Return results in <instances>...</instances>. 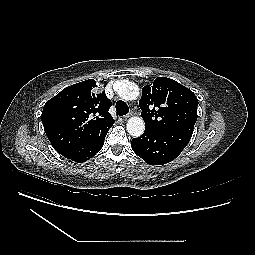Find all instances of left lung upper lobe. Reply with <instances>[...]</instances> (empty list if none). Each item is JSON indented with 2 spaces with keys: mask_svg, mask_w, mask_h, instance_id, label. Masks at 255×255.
<instances>
[{
  "mask_svg": "<svg viewBox=\"0 0 255 255\" xmlns=\"http://www.w3.org/2000/svg\"><path fill=\"white\" fill-rule=\"evenodd\" d=\"M145 128L193 133L197 120L195 94L173 79L158 77L142 89L139 101Z\"/></svg>",
  "mask_w": 255,
  "mask_h": 255,
  "instance_id": "obj_1",
  "label": "left lung upper lobe"
}]
</instances>
